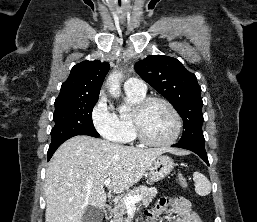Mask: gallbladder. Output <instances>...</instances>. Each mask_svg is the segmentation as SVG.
I'll use <instances>...</instances> for the list:
<instances>
[{
  "mask_svg": "<svg viewBox=\"0 0 257 222\" xmlns=\"http://www.w3.org/2000/svg\"><path fill=\"white\" fill-rule=\"evenodd\" d=\"M104 212L101 208L88 206L83 213L82 222H102Z\"/></svg>",
  "mask_w": 257,
  "mask_h": 222,
  "instance_id": "bac80fb5",
  "label": "gallbladder"
}]
</instances>
